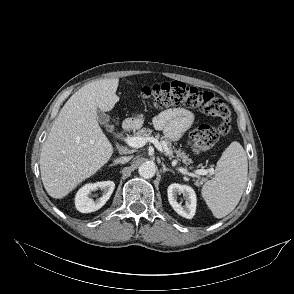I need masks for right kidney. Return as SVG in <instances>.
I'll return each instance as SVG.
<instances>
[{
	"mask_svg": "<svg viewBox=\"0 0 294 294\" xmlns=\"http://www.w3.org/2000/svg\"><path fill=\"white\" fill-rule=\"evenodd\" d=\"M115 183L113 181H102L94 184H86L78 190L75 196L76 209L81 213H90L99 210L109 200ZM101 189L103 194L96 200L92 199L91 192Z\"/></svg>",
	"mask_w": 294,
	"mask_h": 294,
	"instance_id": "ca27d5eb",
	"label": "right kidney"
}]
</instances>
